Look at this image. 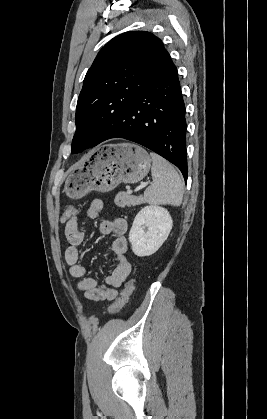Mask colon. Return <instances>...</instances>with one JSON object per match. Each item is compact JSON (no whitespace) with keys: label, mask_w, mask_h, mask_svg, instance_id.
Here are the masks:
<instances>
[{"label":"colon","mask_w":267,"mask_h":419,"mask_svg":"<svg viewBox=\"0 0 267 419\" xmlns=\"http://www.w3.org/2000/svg\"><path fill=\"white\" fill-rule=\"evenodd\" d=\"M76 214H77V209L74 206H69L64 210L61 217V221L66 222L71 217L75 216ZM133 290H134V281L128 280L125 284L124 289L120 293L119 297L108 308L107 314L108 315L117 314L123 308V306L128 302Z\"/></svg>","instance_id":"colon-1"}]
</instances>
